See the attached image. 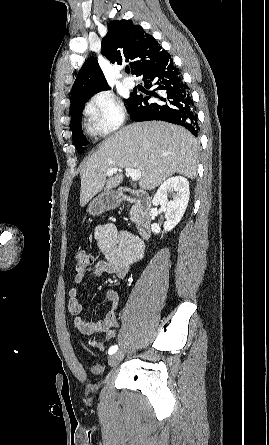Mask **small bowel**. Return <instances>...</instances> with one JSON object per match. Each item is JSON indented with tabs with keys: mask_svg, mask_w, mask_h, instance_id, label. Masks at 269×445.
Masks as SVG:
<instances>
[{
	"mask_svg": "<svg viewBox=\"0 0 269 445\" xmlns=\"http://www.w3.org/2000/svg\"><path fill=\"white\" fill-rule=\"evenodd\" d=\"M94 236L104 259L94 263L85 271L76 273L74 282L77 285L81 284L87 275L98 278L108 273L124 278L129 269L143 257V242L136 235L119 230L113 224L97 226ZM68 295V309L73 316V324L82 334L93 335L98 332H107L108 338L113 336L112 328L118 324L121 303L118 291L109 289L105 292L106 299L112 303V309L103 321L86 320L83 317L85 306L77 287L71 288ZM88 344L92 348H97L100 342L89 341Z\"/></svg>",
	"mask_w": 269,
	"mask_h": 445,
	"instance_id": "c3829d8e",
	"label": "small bowel"
}]
</instances>
